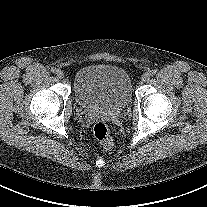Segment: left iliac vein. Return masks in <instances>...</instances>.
Segmentation results:
<instances>
[{"instance_id":"obj_1","label":"left iliac vein","mask_w":207,"mask_h":207,"mask_svg":"<svg viewBox=\"0 0 207 207\" xmlns=\"http://www.w3.org/2000/svg\"><path fill=\"white\" fill-rule=\"evenodd\" d=\"M150 75L149 73H144L141 77L142 81H147L149 79Z\"/></svg>"}]
</instances>
